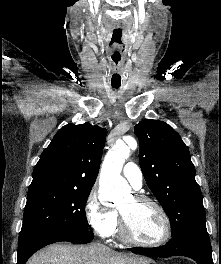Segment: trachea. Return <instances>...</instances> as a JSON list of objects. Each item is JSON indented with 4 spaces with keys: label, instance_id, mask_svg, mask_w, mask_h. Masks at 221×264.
Wrapping results in <instances>:
<instances>
[{
    "label": "trachea",
    "instance_id": "trachea-1",
    "mask_svg": "<svg viewBox=\"0 0 221 264\" xmlns=\"http://www.w3.org/2000/svg\"><path fill=\"white\" fill-rule=\"evenodd\" d=\"M113 88L118 89L120 85H112Z\"/></svg>",
    "mask_w": 221,
    "mask_h": 264
}]
</instances>
